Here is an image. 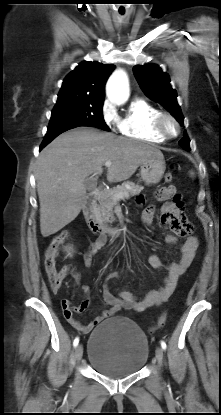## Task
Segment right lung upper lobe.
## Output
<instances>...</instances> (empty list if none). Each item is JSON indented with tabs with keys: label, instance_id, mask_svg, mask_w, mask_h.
I'll return each mask as SVG.
<instances>
[{
	"label": "right lung upper lobe",
	"instance_id": "1",
	"mask_svg": "<svg viewBox=\"0 0 221 415\" xmlns=\"http://www.w3.org/2000/svg\"><path fill=\"white\" fill-rule=\"evenodd\" d=\"M114 68L112 64L84 61L63 80L59 95L87 96L104 100L105 83Z\"/></svg>",
	"mask_w": 221,
	"mask_h": 415
}]
</instances>
